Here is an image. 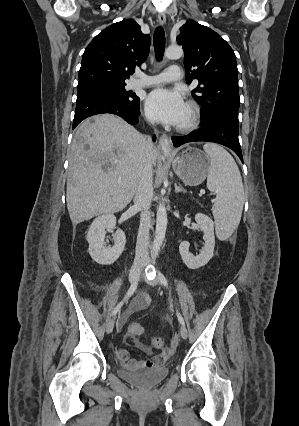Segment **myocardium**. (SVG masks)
<instances>
[{
    "label": "myocardium",
    "mask_w": 299,
    "mask_h": 426,
    "mask_svg": "<svg viewBox=\"0 0 299 426\" xmlns=\"http://www.w3.org/2000/svg\"><path fill=\"white\" fill-rule=\"evenodd\" d=\"M187 107L190 112V117L186 124L178 126V130L180 132H189L194 130L199 125L201 120V111L197 103L190 101L187 103Z\"/></svg>",
    "instance_id": "obj_1"
}]
</instances>
